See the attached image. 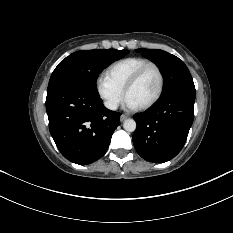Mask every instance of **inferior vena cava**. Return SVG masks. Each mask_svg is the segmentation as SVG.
I'll use <instances>...</instances> for the list:
<instances>
[{
    "label": "inferior vena cava",
    "instance_id": "602c4592",
    "mask_svg": "<svg viewBox=\"0 0 233 233\" xmlns=\"http://www.w3.org/2000/svg\"><path fill=\"white\" fill-rule=\"evenodd\" d=\"M105 106L110 110H116L118 107V104L117 102H114V101H108V102H105Z\"/></svg>",
    "mask_w": 233,
    "mask_h": 233
}]
</instances>
